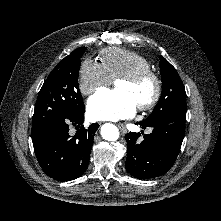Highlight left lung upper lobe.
Instances as JSON below:
<instances>
[{"mask_svg": "<svg viewBox=\"0 0 221 221\" xmlns=\"http://www.w3.org/2000/svg\"><path fill=\"white\" fill-rule=\"evenodd\" d=\"M162 94L150 116L145 121H153L174 112H186V92L176 69L160 57Z\"/></svg>", "mask_w": 221, "mask_h": 221, "instance_id": "obj_1", "label": "left lung upper lobe"}]
</instances>
